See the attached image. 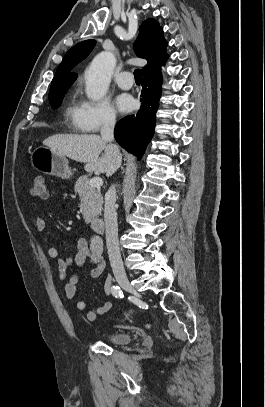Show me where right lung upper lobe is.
Wrapping results in <instances>:
<instances>
[{"label":"right lung upper lobe","instance_id":"obj_1","mask_svg":"<svg viewBox=\"0 0 265 407\" xmlns=\"http://www.w3.org/2000/svg\"><path fill=\"white\" fill-rule=\"evenodd\" d=\"M139 31L134 49L138 57L147 60L148 64L143 68L146 72L166 55L167 42L163 37L162 27L154 19H147L143 22ZM95 44V40H85L72 47L59 65L51 86L73 83L77 79V75L71 74V70L89 55Z\"/></svg>","mask_w":265,"mask_h":407}]
</instances>
